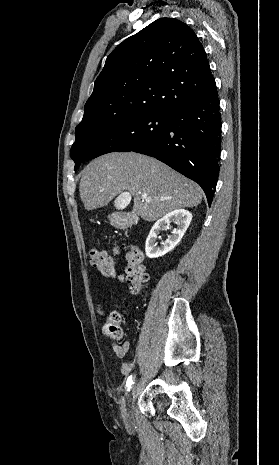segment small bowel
Here are the masks:
<instances>
[{"label": "small bowel", "instance_id": "1", "mask_svg": "<svg viewBox=\"0 0 279 465\" xmlns=\"http://www.w3.org/2000/svg\"><path fill=\"white\" fill-rule=\"evenodd\" d=\"M118 280L120 282L125 281L123 276H119ZM111 346H112V349H113L115 355L118 358H124L126 353L129 350L130 343H129V341L125 340L121 345H117V344L112 343ZM133 367H134V361L125 360V361L122 362V365H121V373L123 375H127L132 371Z\"/></svg>", "mask_w": 279, "mask_h": 465}]
</instances>
